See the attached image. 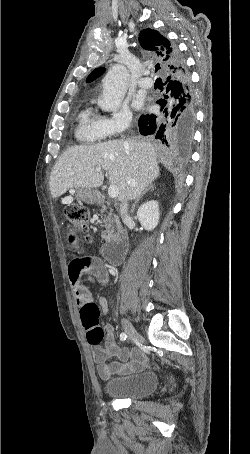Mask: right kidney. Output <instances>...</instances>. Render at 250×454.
<instances>
[{
	"mask_svg": "<svg viewBox=\"0 0 250 454\" xmlns=\"http://www.w3.org/2000/svg\"><path fill=\"white\" fill-rule=\"evenodd\" d=\"M159 216L158 202L154 200L145 202L137 211V217L147 231L153 230L158 225Z\"/></svg>",
	"mask_w": 250,
	"mask_h": 454,
	"instance_id": "right-kidney-1",
	"label": "right kidney"
}]
</instances>
